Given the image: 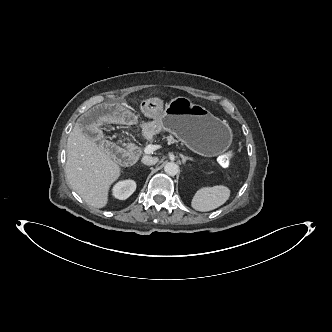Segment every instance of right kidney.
<instances>
[{
  "label": "right kidney",
  "mask_w": 332,
  "mask_h": 332,
  "mask_svg": "<svg viewBox=\"0 0 332 332\" xmlns=\"http://www.w3.org/2000/svg\"><path fill=\"white\" fill-rule=\"evenodd\" d=\"M136 190V183L133 180L119 181L113 188V195L120 200L127 199Z\"/></svg>",
  "instance_id": "1"
}]
</instances>
